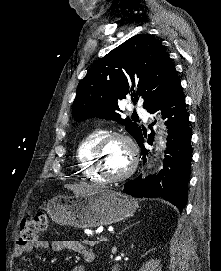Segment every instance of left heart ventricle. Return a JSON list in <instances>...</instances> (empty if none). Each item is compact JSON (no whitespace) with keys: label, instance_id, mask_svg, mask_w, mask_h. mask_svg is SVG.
I'll return each instance as SVG.
<instances>
[{"label":"left heart ventricle","instance_id":"left-heart-ventricle-1","mask_svg":"<svg viewBox=\"0 0 221 271\" xmlns=\"http://www.w3.org/2000/svg\"><path fill=\"white\" fill-rule=\"evenodd\" d=\"M174 87V86H170ZM128 141L125 137H117L105 141L103 144V152L101 156L102 166L107 170V175H122L123 169L131 166L129 161H125L124 157L128 156V152H124V144Z\"/></svg>","mask_w":221,"mask_h":271}]
</instances>
